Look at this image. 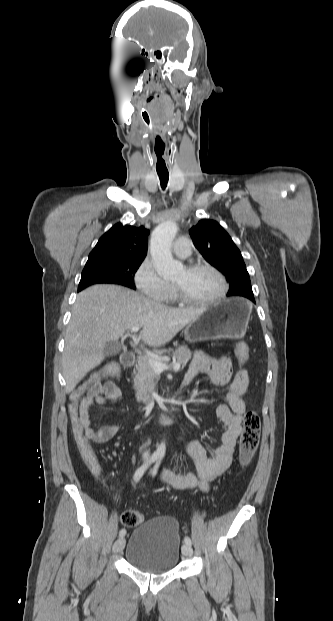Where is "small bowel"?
Returning a JSON list of instances; mask_svg holds the SVG:
<instances>
[{
  "label": "small bowel",
  "mask_w": 333,
  "mask_h": 621,
  "mask_svg": "<svg viewBox=\"0 0 333 621\" xmlns=\"http://www.w3.org/2000/svg\"><path fill=\"white\" fill-rule=\"evenodd\" d=\"M200 373L207 374L215 384H230L226 402L216 409V415L225 428L220 443L212 455H208L199 441L186 439L184 449L194 462L196 475L164 470L160 479L178 490L198 488L206 492L210 483L220 477L232 463L246 411L245 396L249 387V373L245 369H239L232 375L227 357H214L202 351L194 355L185 375L184 384L189 385ZM121 398L122 390L113 381L87 382L74 393L73 399L78 401L79 417L88 440L104 443L117 435L119 431L117 424H104L95 429L91 423L90 409L93 404L102 406L106 401H118Z\"/></svg>",
  "instance_id": "1"
}]
</instances>
